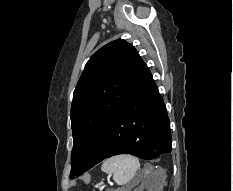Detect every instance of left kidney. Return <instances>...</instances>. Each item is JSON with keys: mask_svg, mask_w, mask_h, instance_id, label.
Returning a JSON list of instances; mask_svg holds the SVG:
<instances>
[{"mask_svg": "<svg viewBox=\"0 0 233 191\" xmlns=\"http://www.w3.org/2000/svg\"><path fill=\"white\" fill-rule=\"evenodd\" d=\"M143 184L151 185V188H154V191H160L163 185V180H159L156 183H149L150 177L148 175L142 177ZM150 191V190H149Z\"/></svg>", "mask_w": 233, "mask_h": 191, "instance_id": "left-kidney-1", "label": "left kidney"}]
</instances>
